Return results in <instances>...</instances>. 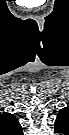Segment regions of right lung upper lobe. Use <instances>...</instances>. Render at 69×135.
<instances>
[{
    "label": "right lung upper lobe",
    "mask_w": 69,
    "mask_h": 135,
    "mask_svg": "<svg viewBox=\"0 0 69 135\" xmlns=\"http://www.w3.org/2000/svg\"><path fill=\"white\" fill-rule=\"evenodd\" d=\"M10 116H11V115H10ZM10 118H11V120H10L9 122L12 121L11 123H14V124H15V122H16V125L18 126L17 129L21 130V128H19V127H21V126H20V124L18 123V121L16 120V118H15L13 115H12ZM12 125H13V124H12ZM12 128H16V127L13 126Z\"/></svg>",
    "instance_id": "right-lung-upper-lobe-1"
}]
</instances>
